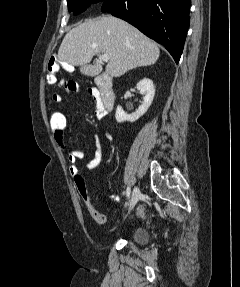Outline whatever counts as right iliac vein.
Listing matches in <instances>:
<instances>
[{
    "label": "right iliac vein",
    "instance_id": "1",
    "mask_svg": "<svg viewBox=\"0 0 240 287\" xmlns=\"http://www.w3.org/2000/svg\"><path fill=\"white\" fill-rule=\"evenodd\" d=\"M140 196H141V192H140L139 188L135 187L133 189V193H132L131 203H130V207H129L130 210L133 209L134 206L137 204Z\"/></svg>",
    "mask_w": 240,
    "mask_h": 287
}]
</instances>
